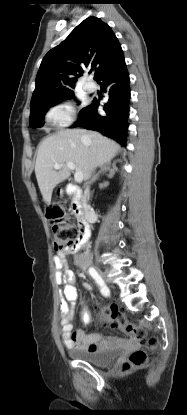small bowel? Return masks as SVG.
Here are the masks:
<instances>
[{"instance_id": "1", "label": "small bowel", "mask_w": 187, "mask_h": 415, "mask_svg": "<svg viewBox=\"0 0 187 415\" xmlns=\"http://www.w3.org/2000/svg\"><path fill=\"white\" fill-rule=\"evenodd\" d=\"M77 247H73L64 251H59L54 257V263L58 271L56 272V282L63 285V295L60 299L61 332L64 344L68 348H80L87 351H99L107 348L112 342L103 339L99 334H87L82 329L75 330L72 325L74 309L78 299V293L75 287V274L69 268L67 254L74 251ZM83 275L82 272L79 273ZM87 290L91 287L84 284ZM81 319L85 325L91 322V314L88 309L84 308Z\"/></svg>"}]
</instances>
